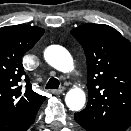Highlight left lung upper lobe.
Here are the masks:
<instances>
[{"label":"left lung upper lobe","mask_w":131,"mask_h":131,"mask_svg":"<svg viewBox=\"0 0 131 131\" xmlns=\"http://www.w3.org/2000/svg\"><path fill=\"white\" fill-rule=\"evenodd\" d=\"M87 60L88 104L79 115L96 131L131 125V43L114 28L87 23L71 30Z\"/></svg>","instance_id":"obj_1"}]
</instances>
